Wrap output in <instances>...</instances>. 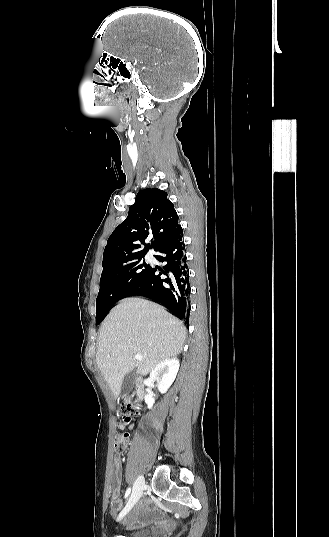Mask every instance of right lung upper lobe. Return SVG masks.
<instances>
[{
    "label": "right lung upper lobe",
    "instance_id": "cb5924a9",
    "mask_svg": "<svg viewBox=\"0 0 329 537\" xmlns=\"http://www.w3.org/2000/svg\"><path fill=\"white\" fill-rule=\"evenodd\" d=\"M181 230L178 215L166 192L156 188L140 190L127 218L109 237L102 266L121 265L144 257L150 249L156 251ZM147 237H152L149 244L145 243Z\"/></svg>",
    "mask_w": 329,
    "mask_h": 537
}]
</instances>
